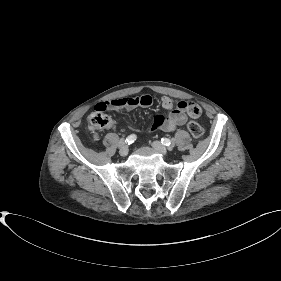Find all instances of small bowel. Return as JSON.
Wrapping results in <instances>:
<instances>
[{"label": "small bowel", "instance_id": "small-bowel-1", "mask_svg": "<svg viewBox=\"0 0 281 281\" xmlns=\"http://www.w3.org/2000/svg\"><path fill=\"white\" fill-rule=\"evenodd\" d=\"M162 107L169 113L167 115L157 114L154 116L151 130H162L172 132L179 126H182L187 121V116H199L201 113L200 107L187 101L174 102L171 98L164 96L161 98ZM153 103L150 95L144 94L136 97H120L110 101L99 102L95 105L96 110H132L137 107H149ZM198 108L199 112L194 113L190 108Z\"/></svg>", "mask_w": 281, "mask_h": 281}]
</instances>
